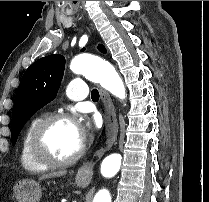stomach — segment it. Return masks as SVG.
Wrapping results in <instances>:
<instances>
[{"instance_id":"1","label":"stomach","mask_w":209,"mask_h":202,"mask_svg":"<svg viewBox=\"0 0 209 202\" xmlns=\"http://www.w3.org/2000/svg\"><path fill=\"white\" fill-rule=\"evenodd\" d=\"M78 185L85 187L88 179L76 178ZM13 196L17 202H39L42 196L41 186L34 180H20L13 187Z\"/></svg>"}]
</instances>
